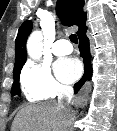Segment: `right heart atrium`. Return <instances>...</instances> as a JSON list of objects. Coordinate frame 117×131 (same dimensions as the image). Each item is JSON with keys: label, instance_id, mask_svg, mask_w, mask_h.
Returning <instances> with one entry per match:
<instances>
[{"label": "right heart atrium", "instance_id": "right-heart-atrium-1", "mask_svg": "<svg viewBox=\"0 0 117 131\" xmlns=\"http://www.w3.org/2000/svg\"><path fill=\"white\" fill-rule=\"evenodd\" d=\"M20 82L25 96L31 101L52 99L70 89L57 80L44 63L28 62L21 72Z\"/></svg>", "mask_w": 117, "mask_h": 131}]
</instances>
